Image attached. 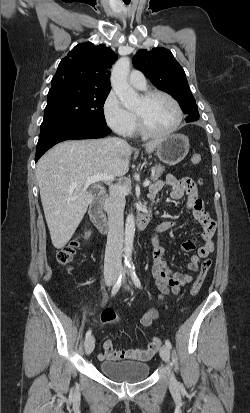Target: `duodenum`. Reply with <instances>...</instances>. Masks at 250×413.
<instances>
[{"label":"duodenum","instance_id":"410a0bca","mask_svg":"<svg viewBox=\"0 0 250 413\" xmlns=\"http://www.w3.org/2000/svg\"><path fill=\"white\" fill-rule=\"evenodd\" d=\"M103 202V197L97 198L90 207V214L97 228L102 233H107L109 225L108 220L103 212ZM150 220L151 214L149 212L142 213L136 218V225L141 230L145 229L148 226Z\"/></svg>","mask_w":250,"mask_h":413}]
</instances>
